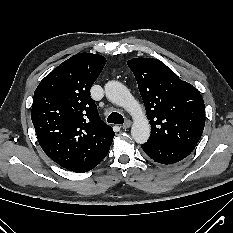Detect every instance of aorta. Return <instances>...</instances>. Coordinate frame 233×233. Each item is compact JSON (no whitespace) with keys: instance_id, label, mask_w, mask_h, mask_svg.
Segmentation results:
<instances>
[{"instance_id":"aorta-1","label":"aorta","mask_w":233,"mask_h":233,"mask_svg":"<svg viewBox=\"0 0 233 233\" xmlns=\"http://www.w3.org/2000/svg\"><path fill=\"white\" fill-rule=\"evenodd\" d=\"M105 94L112 103L123 107L133 117L131 135L134 141L139 144L147 142L151 131L149 121L127 87L118 81H109L105 84Z\"/></svg>"}]
</instances>
